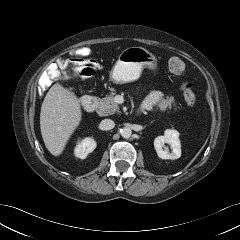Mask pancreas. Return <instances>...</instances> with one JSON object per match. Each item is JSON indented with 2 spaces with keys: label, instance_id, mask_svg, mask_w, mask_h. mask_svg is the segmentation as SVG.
Returning a JSON list of instances; mask_svg holds the SVG:
<instances>
[{
  "label": "pancreas",
  "instance_id": "1",
  "mask_svg": "<svg viewBox=\"0 0 240 240\" xmlns=\"http://www.w3.org/2000/svg\"><path fill=\"white\" fill-rule=\"evenodd\" d=\"M114 94L111 93L110 96H106L102 99H98V114L100 116H108L113 115L116 112H119V106L114 101ZM172 105H176L174 97L167 96L166 99L162 100V102L159 104V111L164 112L167 109H171Z\"/></svg>",
  "mask_w": 240,
  "mask_h": 240
}]
</instances>
